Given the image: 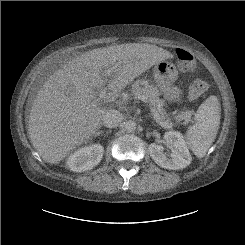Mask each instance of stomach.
<instances>
[{
	"mask_svg": "<svg viewBox=\"0 0 245 245\" xmlns=\"http://www.w3.org/2000/svg\"><path fill=\"white\" fill-rule=\"evenodd\" d=\"M154 80L161 94L169 102H177L182 98V90L174 83L178 78V71L174 64L163 60L153 68Z\"/></svg>",
	"mask_w": 245,
	"mask_h": 245,
	"instance_id": "obj_1",
	"label": "stomach"
}]
</instances>
